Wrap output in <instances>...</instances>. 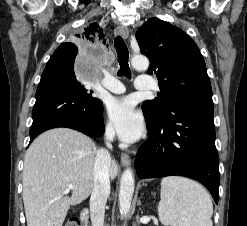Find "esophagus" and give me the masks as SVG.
<instances>
[{"label": "esophagus", "mask_w": 247, "mask_h": 226, "mask_svg": "<svg viewBox=\"0 0 247 226\" xmlns=\"http://www.w3.org/2000/svg\"><path fill=\"white\" fill-rule=\"evenodd\" d=\"M115 34L116 35H120L123 38H127L128 35H129V31L125 26L119 25L115 29ZM121 163H122L123 166H129L131 164L130 156L128 154H126V153H122V155H121Z\"/></svg>", "instance_id": "obj_1"}]
</instances>
